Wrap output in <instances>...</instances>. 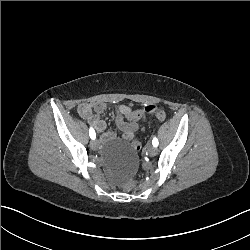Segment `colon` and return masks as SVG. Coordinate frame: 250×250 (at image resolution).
Listing matches in <instances>:
<instances>
[{
  "instance_id": "1",
  "label": "colon",
  "mask_w": 250,
  "mask_h": 250,
  "mask_svg": "<svg viewBox=\"0 0 250 250\" xmlns=\"http://www.w3.org/2000/svg\"><path fill=\"white\" fill-rule=\"evenodd\" d=\"M154 114L155 116L159 117V121L160 122H165L166 121V114L165 112L155 106V105H150V106H146L144 108H140L139 110H136L134 111L132 114H131V119L132 120H138L140 117H142L143 115H147V114ZM134 148L135 149H140L142 144L140 141H135L134 144H133ZM142 177L137 175L134 177L133 180H126V181H123L122 182V188H121V193L122 194H128L130 193L131 191H134L138 188V185L139 183L142 182Z\"/></svg>"
}]
</instances>
